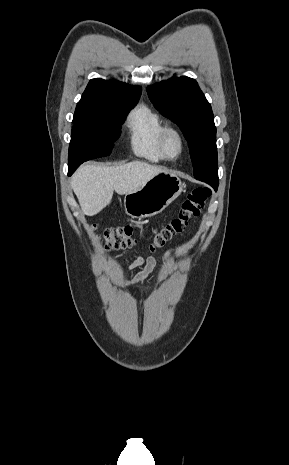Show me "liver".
Here are the masks:
<instances>
[{
    "label": "liver",
    "mask_w": 289,
    "mask_h": 465,
    "mask_svg": "<svg viewBox=\"0 0 289 465\" xmlns=\"http://www.w3.org/2000/svg\"><path fill=\"white\" fill-rule=\"evenodd\" d=\"M165 170L146 162L133 161L121 166L82 165L72 176L71 187L82 212L94 216L119 195L139 189L148 180Z\"/></svg>",
    "instance_id": "liver-1"
}]
</instances>
